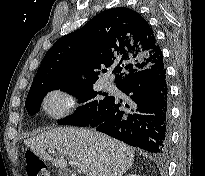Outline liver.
Wrapping results in <instances>:
<instances>
[{
    "instance_id": "liver-1",
    "label": "liver",
    "mask_w": 205,
    "mask_h": 176,
    "mask_svg": "<svg viewBox=\"0 0 205 176\" xmlns=\"http://www.w3.org/2000/svg\"><path fill=\"white\" fill-rule=\"evenodd\" d=\"M24 143L57 168H66L64 157L79 162L89 169V176H123L134 160L130 146L87 129L59 127L25 139ZM47 148L57 152L59 158L46 153Z\"/></svg>"
}]
</instances>
